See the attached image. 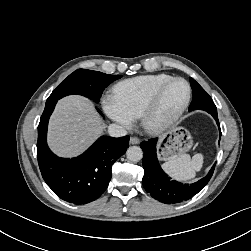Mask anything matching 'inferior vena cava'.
Instances as JSON below:
<instances>
[{"instance_id":"inferior-vena-cava-1","label":"inferior vena cava","mask_w":251,"mask_h":251,"mask_svg":"<svg viewBox=\"0 0 251 251\" xmlns=\"http://www.w3.org/2000/svg\"><path fill=\"white\" fill-rule=\"evenodd\" d=\"M108 134L111 137H122L127 135L126 129L118 124H111L108 126Z\"/></svg>"}]
</instances>
